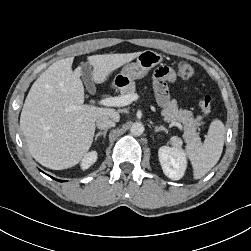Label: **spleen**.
<instances>
[{
  "label": "spleen",
  "instance_id": "1",
  "mask_svg": "<svg viewBox=\"0 0 251 251\" xmlns=\"http://www.w3.org/2000/svg\"><path fill=\"white\" fill-rule=\"evenodd\" d=\"M225 141V126L219 119H214L208 129L203 143L188 141L186 153L193 166L195 179H200L209 172L221 157ZM169 143L174 148L181 147L183 141L178 136H172Z\"/></svg>",
  "mask_w": 251,
  "mask_h": 251
}]
</instances>
